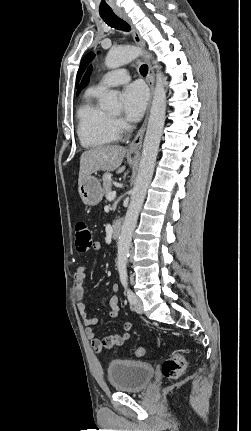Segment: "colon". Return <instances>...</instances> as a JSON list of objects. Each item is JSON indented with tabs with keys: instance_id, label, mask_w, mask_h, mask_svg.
<instances>
[{
	"instance_id": "1",
	"label": "colon",
	"mask_w": 251,
	"mask_h": 431,
	"mask_svg": "<svg viewBox=\"0 0 251 431\" xmlns=\"http://www.w3.org/2000/svg\"><path fill=\"white\" fill-rule=\"evenodd\" d=\"M75 238V246L80 253L87 252L95 246L91 229L87 223L83 221L78 222L75 226ZM133 353L136 357H143L145 349L143 347H137L134 349ZM185 367V357L181 354H175L162 363L161 369L164 377L174 380L183 375Z\"/></svg>"
}]
</instances>
